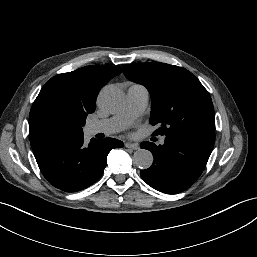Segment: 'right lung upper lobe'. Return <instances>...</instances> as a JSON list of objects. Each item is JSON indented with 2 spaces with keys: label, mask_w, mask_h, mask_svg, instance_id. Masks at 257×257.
I'll use <instances>...</instances> for the list:
<instances>
[{
  "label": "right lung upper lobe",
  "mask_w": 257,
  "mask_h": 257,
  "mask_svg": "<svg viewBox=\"0 0 257 257\" xmlns=\"http://www.w3.org/2000/svg\"><path fill=\"white\" fill-rule=\"evenodd\" d=\"M120 73L121 67L90 65L58 74L47 81L30 111L29 133L32 149H37L59 136L44 127L40 120L41 111L49 102L62 100L76 105L88 114L93 113L100 88Z\"/></svg>",
  "instance_id": "cb5924a9"
}]
</instances>
